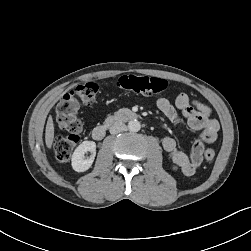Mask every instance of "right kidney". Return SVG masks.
Returning <instances> with one entry per match:
<instances>
[{
    "mask_svg": "<svg viewBox=\"0 0 251 251\" xmlns=\"http://www.w3.org/2000/svg\"><path fill=\"white\" fill-rule=\"evenodd\" d=\"M91 152L92 155L85 159V154ZM96 153V143L93 141L82 142L74 151L72 155V168L76 172H84L88 170L93 162Z\"/></svg>",
    "mask_w": 251,
    "mask_h": 251,
    "instance_id": "obj_1",
    "label": "right kidney"
}]
</instances>
